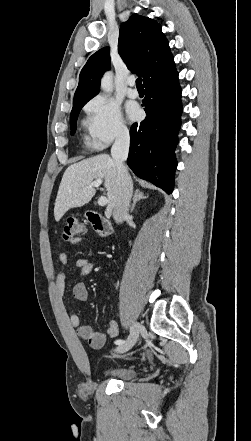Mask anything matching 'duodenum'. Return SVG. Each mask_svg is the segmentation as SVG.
<instances>
[{"instance_id":"obj_1","label":"duodenum","mask_w":251,"mask_h":441,"mask_svg":"<svg viewBox=\"0 0 251 441\" xmlns=\"http://www.w3.org/2000/svg\"><path fill=\"white\" fill-rule=\"evenodd\" d=\"M86 217L91 226L101 237H107L112 233L111 224L98 212L90 210L86 213Z\"/></svg>"}]
</instances>
